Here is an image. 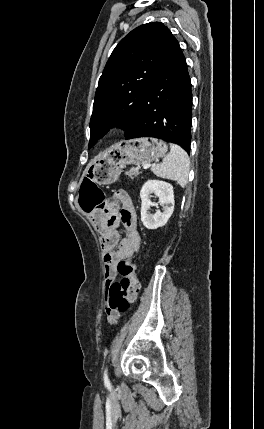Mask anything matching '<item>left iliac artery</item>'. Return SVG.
<instances>
[{
	"mask_svg": "<svg viewBox=\"0 0 264 429\" xmlns=\"http://www.w3.org/2000/svg\"><path fill=\"white\" fill-rule=\"evenodd\" d=\"M104 383L106 385H110V381H109V378H108L107 370L104 371Z\"/></svg>",
	"mask_w": 264,
	"mask_h": 429,
	"instance_id": "obj_1",
	"label": "left iliac artery"
}]
</instances>
